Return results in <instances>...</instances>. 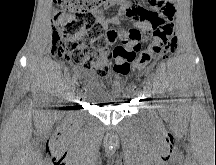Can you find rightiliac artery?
Here are the masks:
<instances>
[{
	"mask_svg": "<svg viewBox=\"0 0 216 165\" xmlns=\"http://www.w3.org/2000/svg\"><path fill=\"white\" fill-rule=\"evenodd\" d=\"M75 78L76 77L74 75L70 78L69 85H68L67 92H66V97L69 98L70 100L73 98L71 96V93H72V90H73Z\"/></svg>",
	"mask_w": 216,
	"mask_h": 165,
	"instance_id": "obj_1",
	"label": "right iliac artery"
}]
</instances>
